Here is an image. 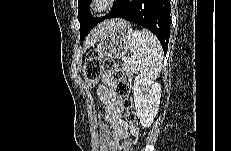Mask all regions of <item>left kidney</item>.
I'll list each match as a JSON object with an SVG mask.
<instances>
[{
	"label": "left kidney",
	"mask_w": 231,
	"mask_h": 151,
	"mask_svg": "<svg viewBox=\"0 0 231 151\" xmlns=\"http://www.w3.org/2000/svg\"><path fill=\"white\" fill-rule=\"evenodd\" d=\"M134 105L137 117L144 128L151 126L157 114L161 97V86L143 75L134 80Z\"/></svg>",
	"instance_id": "left-kidney-1"
}]
</instances>
